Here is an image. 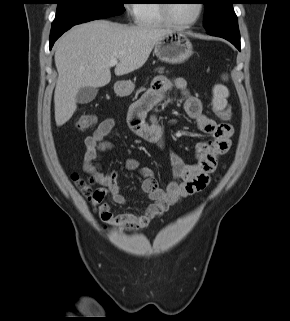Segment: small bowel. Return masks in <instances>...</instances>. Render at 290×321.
<instances>
[{"mask_svg":"<svg viewBox=\"0 0 290 321\" xmlns=\"http://www.w3.org/2000/svg\"><path fill=\"white\" fill-rule=\"evenodd\" d=\"M181 93L184 98V111L196 122L200 132L212 137L209 141L199 142L195 146L198 158L196 164H186L183 159L173 150L169 152V160L172 168L174 180L165 188H161L154 173L149 168L138 169L136 159H128L126 168L130 171L138 170L144 178L142 190L148 195L151 204L145 212L136 215L132 213L113 214L110 205L104 200L105 194H109L112 202L116 205L126 203L125 196L121 193L118 184V172H103L96 160L102 151L111 148V143L106 140V136L116 127L113 118L104 119L93 133L86 137V152L83 158V170L103 191L102 198L91 200L93 208L98 212L100 219L105 225L117 228L138 230L147 227L152 220L161 216L168 208L177 204L182 199L203 191L210 181V174L214 170L217 160L224 155L231 146L233 127L227 122L217 123L203 113V105L200 99L189 94L187 82L182 77L172 80L166 77H157L151 89L137 99L127 115L128 125L133 133L153 144L164 148L163 127L155 115L149 113L161 102L165 100L171 90ZM222 119V118H221ZM226 121V119H222Z\"/></svg>","mask_w":290,"mask_h":321,"instance_id":"obj_1","label":"small bowel"}]
</instances>
